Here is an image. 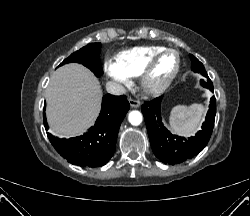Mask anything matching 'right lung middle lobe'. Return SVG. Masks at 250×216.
I'll return each instance as SVG.
<instances>
[{"label":"right lung middle lobe","mask_w":250,"mask_h":216,"mask_svg":"<svg viewBox=\"0 0 250 216\" xmlns=\"http://www.w3.org/2000/svg\"><path fill=\"white\" fill-rule=\"evenodd\" d=\"M100 43H92L71 54L61 64L80 63L89 68L97 77L103 74L100 63Z\"/></svg>","instance_id":"right-lung-middle-lobe-1"}]
</instances>
